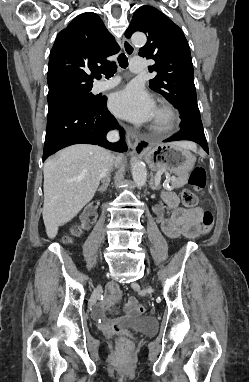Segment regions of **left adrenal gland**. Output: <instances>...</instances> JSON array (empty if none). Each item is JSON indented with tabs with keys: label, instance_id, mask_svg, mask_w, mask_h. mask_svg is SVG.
I'll use <instances>...</instances> for the list:
<instances>
[{
	"label": "left adrenal gland",
	"instance_id": "left-adrenal-gland-1",
	"mask_svg": "<svg viewBox=\"0 0 249 382\" xmlns=\"http://www.w3.org/2000/svg\"><path fill=\"white\" fill-rule=\"evenodd\" d=\"M149 186H150V188H151L152 190H158V189H160V186L155 185V183H154V176H153V174H151V179H150Z\"/></svg>",
	"mask_w": 249,
	"mask_h": 382
}]
</instances>
